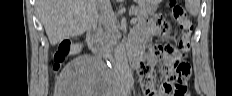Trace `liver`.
<instances>
[{
    "mask_svg": "<svg viewBox=\"0 0 232 96\" xmlns=\"http://www.w3.org/2000/svg\"><path fill=\"white\" fill-rule=\"evenodd\" d=\"M99 0H37V12L51 45L80 36L98 19Z\"/></svg>",
    "mask_w": 232,
    "mask_h": 96,
    "instance_id": "liver-1",
    "label": "liver"
}]
</instances>
